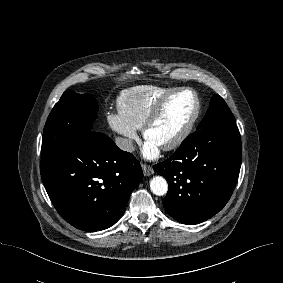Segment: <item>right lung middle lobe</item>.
I'll use <instances>...</instances> for the list:
<instances>
[{
	"label": "right lung middle lobe",
	"instance_id": "1",
	"mask_svg": "<svg viewBox=\"0 0 283 283\" xmlns=\"http://www.w3.org/2000/svg\"><path fill=\"white\" fill-rule=\"evenodd\" d=\"M97 109V101L92 95L64 92L44 127L42 160L58 153L75 137L90 131Z\"/></svg>",
	"mask_w": 283,
	"mask_h": 283
}]
</instances>
